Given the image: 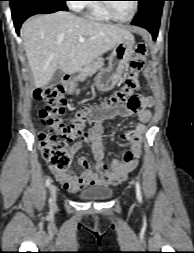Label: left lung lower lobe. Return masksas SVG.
I'll return each instance as SVG.
<instances>
[{
  "label": "left lung lower lobe",
  "instance_id": "obj_1",
  "mask_svg": "<svg viewBox=\"0 0 194 253\" xmlns=\"http://www.w3.org/2000/svg\"><path fill=\"white\" fill-rule=\"evenodd\" d=\"M166 0H146L139 5L132 24L141 26L150 31L155 40L158 34L163 2Z\"/></svg>",
  "mask_w": 194,
  "mask_h": 253
}]
</instances>
